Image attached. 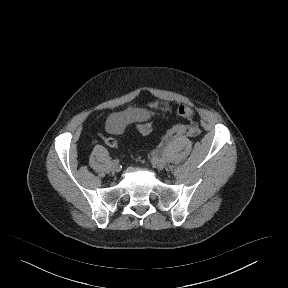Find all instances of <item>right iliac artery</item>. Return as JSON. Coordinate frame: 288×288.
<instances>
[{"instance_id":"1","label":"right iliac artery","mask_w":288,"mask_h":288,"mask_svg":"<svg viewBox=\"0 0 288 288\" xmlns=\"http://www.w3.org/2000/svg\"><path fill=\"white\" fill-rule=\"evenodd\" d=\"M112 162H116V163H118V160H117V159H113Z\"/></svg>"}]
</instances>
